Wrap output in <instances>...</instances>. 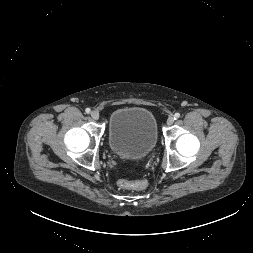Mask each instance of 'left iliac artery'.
I'll return each instance as SVG.
<instances>
[{
    "instance_id": "1",
    "label": "left iliac artery",
    "mask_w": 253,
    "mask_h": 253,
    "mask_svg": "<svg viewBox=\"0 0 253 253\" xmlns=\"http://www.w3.org/2000/svg\"><path fill=\"white\" fill-rule=\"evenodd\" d=\"M179 117H180V113H175L174 119L176 120V119H178Z\"/></svg>"
}]
</instances>
